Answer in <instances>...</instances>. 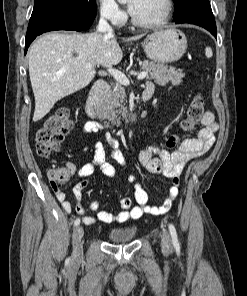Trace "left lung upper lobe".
Wrapping results in <instances>:
<instances>
[{
	"instance_id": "1",
	"label": "left lung upper lobe",
	"mask_w": 247,
	"mask_h": 296,
	"mask_svg": "<svg viewBox=\"0 0 247 296\" xmlns=\"http://www.w3.org/2000/svg\"><path fill=\"white\" fill-rule=\"evenodd\" d=\"M197 1L199 0H174L176 9L173 16L183 13Z\"/></svg>"
}]
</instances>
